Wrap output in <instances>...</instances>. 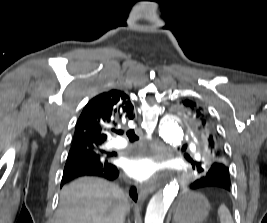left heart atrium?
Returning a JSON list of instances; mask_svg holds the SVG:
<instances>
[{
	"label": "left heart atrium",
	"mask_w": 267,
	"mask_h": 223,
	"mask_svg": "<svg viewBox=\"0 0 267 223\" xmlns=\"http://www.w3.org/2000/svg\"><path fill=\"white\" fill-rule=\"evenodd\" d=\"M158 169V162L147 156H134L125 162L127 174L137 180H148L152 178Z\"/></svg>",
	"instance_id": "left-heart-atrium-1"
}]
</instances>
